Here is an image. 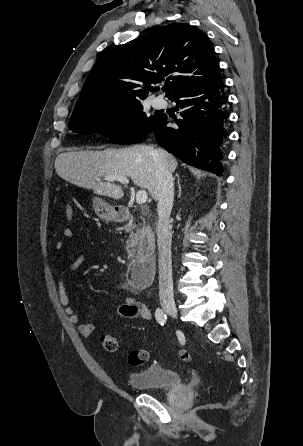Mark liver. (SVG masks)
Instances as JSON below:
<instances>
[{
  "instance_id": "liver-1",
  "label": "liver",
  "mask_w": 303,
  "mask_h": 446,
  "mask_svg": "<svg viewBox=\"0 0 303 446\" xmlns=\"http://www.w3.org/2000/svg\"><path fill=\"white\" fill-rule=\"evenodd\" d=\"M157 158L171 172L178 166L176 158L164 149L135 145L103 151L63 152L56 157L54 167L62 179L92 189L98 195L121 199L124 195L121 186L99 180L104 176L121 175L131 178L138 187L148 189L152 198L158 200Z\"/></svg>"
}]
</instances>
